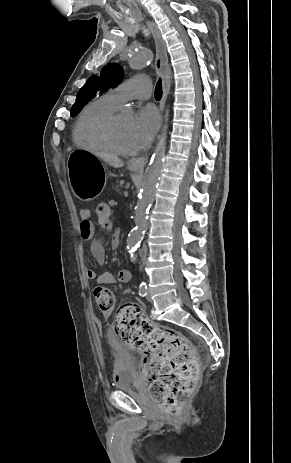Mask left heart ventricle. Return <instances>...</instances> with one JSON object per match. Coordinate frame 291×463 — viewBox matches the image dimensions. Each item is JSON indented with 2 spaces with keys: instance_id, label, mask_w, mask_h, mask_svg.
Returning <instances> with one entry per match:
<instances>
[{
  "instance_id": "1",
  "label": "left heart ventricle",
  "mask_w": 291,
  "mask_h": 463,
  "mask_svg": "<svg viewBox=\"0 0 291 463\" xmlns=\"http://www.w3.org/2000/svg\"><path fill=\"white\" fill-rule=\"evenodd\" d=\"M131 125V117L118 115L114 127V140L119 147L125 150H135L139 147L133 135Z\"/></svg>"
}]
</instances>
